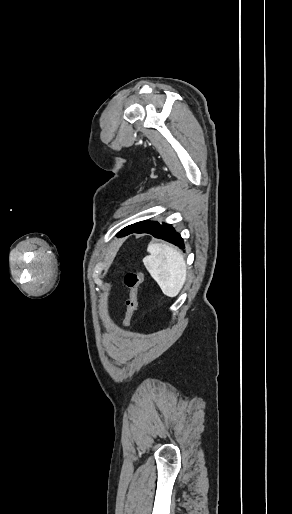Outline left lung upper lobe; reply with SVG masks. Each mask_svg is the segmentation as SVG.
<instances>
[{
  "mask_svg": "<svg viewBox=\"0 0 292 514\" xmlns=\"http://www.w3.org/2000/svg\"><path fill=\"white\" fill-rule=\"evenodd\" d=\"M155 221H140L123 228L117 236H126L131 233H139L148 229Z\"/></svg>",
  "mask_w": 292,
  "mask_h": 514,
  "instance_id": "obj_1",
  "label": "left lung upper lobe"
}]
</instances>
